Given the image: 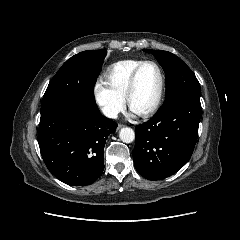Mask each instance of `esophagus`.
Wrapping results in <instances>:
<instances>
[{"mask_svg":"<svg viewBox=\"0 0 240 240\" xmlns=\"http://www.w3.org/2000/svg\"><path fill=\"white\" fill-rule=\"evenodd\" d=\"M123 126H124V125L119 124L118 127H117V129L119 130V129H121Z\"/></svg>","mask_w":240,"mask_h":240,"instance_id":"obj_1","label":"esophagus"}]
</instances>
